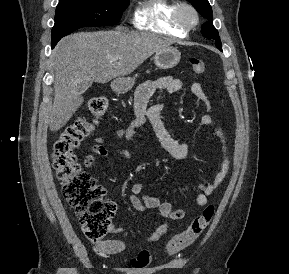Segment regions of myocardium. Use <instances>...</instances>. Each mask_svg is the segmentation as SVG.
Segmentation results:
<instances>
[{
	"label": "myocardium",
	"mask_w": 289,
	"mask_h": 274,
	"mask_svg": "<svg viewBox=\"0 0 289 274\" xmlns=\"http://www.w3.org/2000/svg\"><path fill=\"white\" fill-rule=\"evenodd\" d=\"M186 14H189L190 18H187ZM172 20L177 27L187 32L198 25L199 13L190 3L179 2L173 10Z\"/></svg>",
	"instance_id": "myocardium-1"
}]
</instances>
